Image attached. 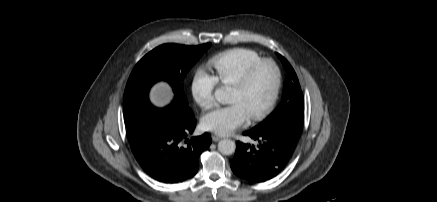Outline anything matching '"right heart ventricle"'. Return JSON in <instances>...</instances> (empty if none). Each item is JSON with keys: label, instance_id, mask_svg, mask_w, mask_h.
Wrapping results in <instances>:
<instances>
[{"label": "right heart ventricle", "instance_id": "1", "mask_svg": "<svg viewBox=\"0 0 437 202\" xmlns=\"http://www.w3.org/2000/svg\"><path fill=\"white\" fill-rule=\"evenodd\" d=\"M259 59L261 56L251 49L233 48L214 55L208 64L219 83L232 85L250 64Z\"/></svg>", "mask_w": 437, "mask_h": 202}]
</instances>
